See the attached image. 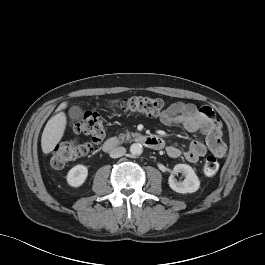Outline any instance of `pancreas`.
<instances>
[{
	"instance_id": "1",
	"label": "pancreas",
	"mask_w": 265,
	"mask_h": 265,
	"mask_svg": "<svg viewBox=\"0 0 265 265\" xmlns=\"http://www.w3.org/2000/svg\"><path fill=\"white\" fill-rule=\"evenodd\" d=\"M131 136L132 137L136 136V133L126 132V133L119 134V138L122 139V140L125 139V138L129 139Z\"/></svg>"
}]
</instances>
